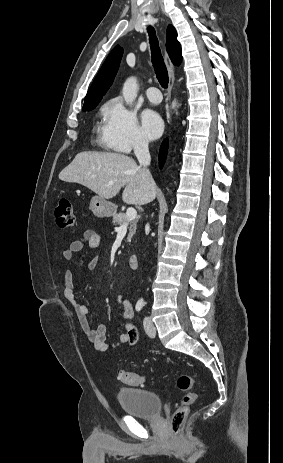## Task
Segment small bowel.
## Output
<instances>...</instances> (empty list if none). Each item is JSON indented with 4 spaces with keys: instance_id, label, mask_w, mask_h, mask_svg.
I'll use <instances>...</instances> for the list:
<instances>
[{
    "instance_id": "c3829d8e",
    "label": "small bowel",
    "mask_w": 283,
    "mask_h": 463,
    "mask_svg": "<svg viewBox=\"0 0 283 463\" xmlns=\"http://www.w3.org/2000/svg\"><path fill=\"white\" fill-rule=\"evenodd\" d=\"M100 236L95 229H88L85 231L82 238L72 241L68 247L63 251L65 260L70 261L74 258L75 254L81 251L86 246L95 248L99 245ZM98 258H93L88 261L87 266L94 269L98 264ZM64 296L66 301L73 308L79 324L86 336V338L93 345L97 351H107L121 345L133 346L138 341V333L132 322L134 317V310L131 302L124 296L119 295L116 299L117 306L125 319L123 323V332L119 336L117 342L108 343L106 341V327L104 324H99L95 327L91 326L88 319V307L82 303L76 296L74 289V275L71 270H66L64 273Z\"/></svg>"
}]
</instances>
